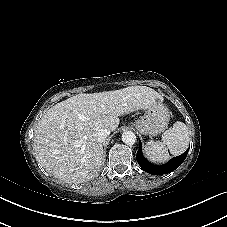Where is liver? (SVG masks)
Returning <instances> with one entry per match:
<instances>
[{"label": "liver", "instance_id": "6515ba94", "mask_svg": "<svg viewBox=\"0 0 227 227\" xmlns=\"http://www.w3.org/2000/svg\"><path fill=\"white\" fill-rule=\"evenodd\" d=\"M161 96L146 86L70 97L44 113L34 132L33 148L41 166L55 178L79 184L97 176L103 146L94 134L115 131L119 116L148 109Z\"/></svg>", "mask_w": 227, "mask_h": 227}]
</instances>
